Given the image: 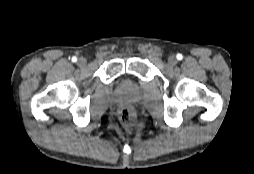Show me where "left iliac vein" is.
<instances>
[{
  "label": "left iliac vein",
  "mask_w": 254,
  "mask_h": 174,
  "mask_svg": "<svg viewBox=\"0 0 254 174\" xmlns=\"http://www.w3.org/2000/svg\"><path fill=\"white\" fill-rule=\"evenodd\" d=\"M177 62H178V60H177V58H176L174 55H170V56L168 57V63H169L170 65H176Z\"/></svg>",
  "instance_id": "1"
}]
</instances>
